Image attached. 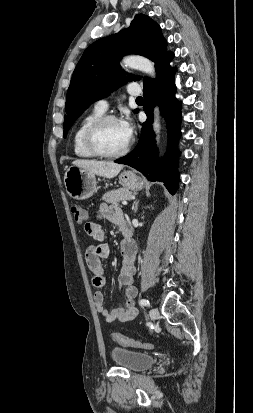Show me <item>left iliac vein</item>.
<instances>
[{
    "mask_svg": "<svg viewBox=\"0 0 253 413\" xmlns=\"http://www.w3.org/2000/svg\"><path fill=\"white\" fill-rule=\"evenodd\" d=\"M150 316H151V318L154 319V320L157 319L158 316H159L158 310H157L156 308L151 309V310H150Z\"/></svg>",
    "mask_w": 253,
    "mask_h": 413,
    "instance_id": "obj_1",
    "label": "left iliac vein"
}]
</instances>
